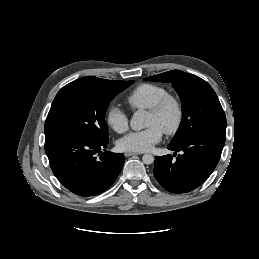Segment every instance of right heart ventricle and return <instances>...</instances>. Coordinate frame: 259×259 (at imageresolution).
Instances as JSON below:
<instances>
[{"instance_id":"obj_1","label":"right heart ventricle","mask_w":259,"mask_h":259,"mask_svg":"<svg viewBox=\"0 0 259 259\" xmlns=\"http://www.w3.org/2000/svg\"><path fill=\"white\" fill-rule=\"evenodd\" d=\"M167 89L158 84L144 83L137 86L127 97V103L132 109H150L163 96Z\"/></svg>"}]
</instances>
